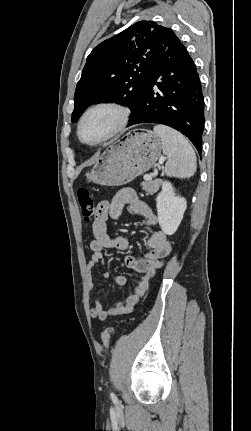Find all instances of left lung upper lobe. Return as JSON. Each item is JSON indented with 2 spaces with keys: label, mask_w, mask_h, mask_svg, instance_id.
Instances as JSON below:
<instances>
[{
  "label": "left lung upper lobe",
  "mask_w": 251,
  "mask_h": 431,
  "mask_svg": "<svg viewBox=\"0 0 251 431\" xmlns=\"http://www.w3.org/2000/svg\"><path fill=\"white\" fill-rule=\"evenodd\" d=\"M173 31L139 21L96 46L87 57L75 95L72 122L94 103L115 102L133 113L140 102L157 49Z\"/></svg>",
  "instance_id": "obj_1"
}]
</instances>
